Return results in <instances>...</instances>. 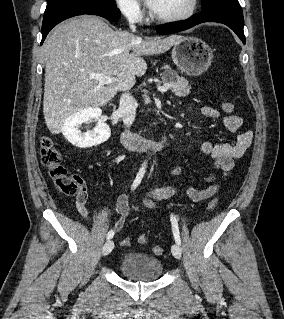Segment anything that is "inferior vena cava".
Segmentation results:
<instances>
[{
  "instance_id": "602c4592",
  "label": "inferior vena cava",
  "mask_w": 284,
  "mask_h": 319,
  "mask_svg": "<svg viewBox=\"0 0 284 319\" xmlns=\"http://www.w3.org/2000/svg\"><path fill=\"white\" fill-rule=\"evenodd\" d=\"M137 19V14L135 11H130L128 13V21L130 24L131 30L134 32L136 29V26L134 25L135 21ZM126 90L129 89H124V93L120 97V104H119V113L121 114L123 118L124 124L129 127L132 125L133 121L135 120L136 116V109L138 107L137 101L133 98V96L126 92Z\"/></svg>"
}]
</instances>
